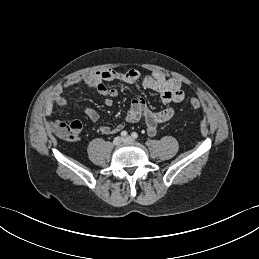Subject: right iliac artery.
<instances>
[{
  "label": "right iliac artery",
  "instance_id": "obj_1",
  "mask_svg": "<svg viewBox=\"0 0 259 259\" xmlns=\"http://www.w3.org/2000/svg\"><path fill=\"white\" fill-rule=\"evenodd\" d=\"M121 136H123V137L127 136V132L126 131H122L121 132Z\"/></svg>",
  "mask_w": 259,
  "mask_h": 259
}]
</instances>
